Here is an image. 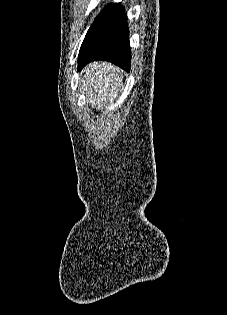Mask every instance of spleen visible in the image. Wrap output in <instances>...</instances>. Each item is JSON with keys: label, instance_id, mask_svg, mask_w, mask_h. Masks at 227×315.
<instances>
[{"label": "spleen", "instance_id": "spleen-1", "mask_svg": "<svg viewBox=\"0 0 227 315\" xmlns=\"http://www.w3.org/2000/svg\"><path fill=\"white\" fill-rule=\"evenodd\" d=\"M85 75L86 93L89 101L98 106V109L107 102L115 100L122 89L120 70L108 63H94Z\"/></svg>", "mask_w": 227, "mask_h": 315}]
</instances>
